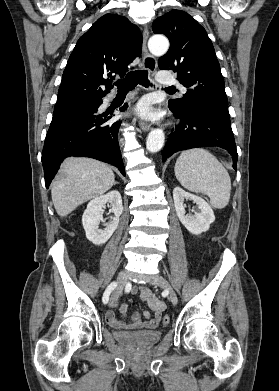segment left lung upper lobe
<instances>
[{
  "mask_svg": "<svg viewBox=\"0 0 279 391\" xmlns=\"http://www.w3.org/2000/svg\"><path fill=\"white\" fill-rule=\"evenodd\" d=\"M152 29L156 34H165L171 43L159 59V68L177 72V79L187 88L183 98L169 102L180 109L190 104L208 105L229 115L224 79L205 29L181 10L157 18Z\"/></svg>",
  "mask_w": 279,
  "mask_h": 391,
  "instance_id": "left-lung-upper-lobe-1",
  "label": "left lung upper lobe"
}]
</instances>
